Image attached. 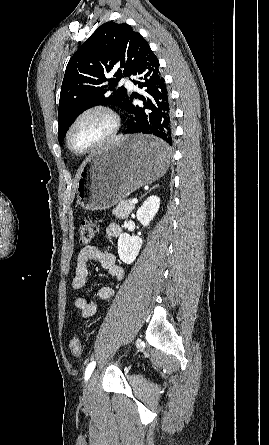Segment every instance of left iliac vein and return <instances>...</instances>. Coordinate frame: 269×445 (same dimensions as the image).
<instances>
[{"label": "left iliac vein", "mask_w": 269, "mask_h": 445, "mask_svg": "<svg viewBox=\"0 0 269 445\" xmlns=\"http://www.w3.org/2000/svg\"><path fill=\"white\" fill-rule=\"evenodd\" d=\"M98 376V371H95L84 387V398L85 400H90L94 397L95 394V384Z\"/></svg>", "instance_id": "left-iliac-vein-1"}]
</instances>
